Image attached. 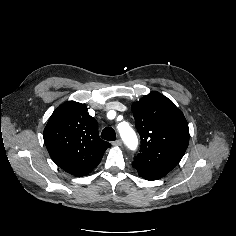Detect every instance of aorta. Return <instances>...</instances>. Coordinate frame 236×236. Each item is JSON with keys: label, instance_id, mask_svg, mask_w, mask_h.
Here are the masks:
<instances>
[{"label": "aorta", "instance_id": "obj_1", "mask_svg": "<svg viewBox=\"0 0 236 236\" xmlns=\"http://www.w3.org/2000/svg\"><path fill=\"white\" fill-rule=\"evenodd\" d=\"M120 135L125 142V144L130 148V149H135L137 146V138L134 133V131L127 126L124 129H120Z\"/></svg>", "mask_w": 236, "mask_h": 236}]
</instances>
